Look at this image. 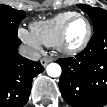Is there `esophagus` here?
<instances>
[{
  "instance_id": "34e87169",
  "label": "esophagus",
  "mask_w": 107,
  "mask_h": 107,
  "mask_svg": "<svg viewBox=\"0 0 107 107\" xmlns=\"http://www.w3.org/2000/svg\"><path fill=\"white\" fill-rule=\"evenodd\" d=\"M53 59L52 58H42L41 59V64L43 66H46L48 63H50Z\"/></svg>"
}]
</instances>
